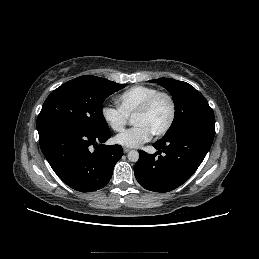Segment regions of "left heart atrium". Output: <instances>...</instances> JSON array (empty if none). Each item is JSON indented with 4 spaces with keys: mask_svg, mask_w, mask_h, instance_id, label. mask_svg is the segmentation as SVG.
<instances>
[{
    "mask_svg": "<svg viewBox=\"0 0 259 259\" xmlns=\"http://www.w3.org/2000/svg\"><path fill=\"white\" fill-rule=\"evenodd\" d=\"M152 135L146 127L135 125L123 133L118 134L114 138V142L124 147L135 148L149 141Z\"/></svg>",
    "mask_w": 259,
    "mask_h": 259,
    "instance_id": "left-heart-atrium-1",
    "label": "left heart atrium"
}]
</instances>
